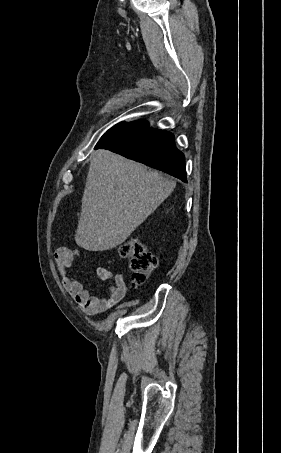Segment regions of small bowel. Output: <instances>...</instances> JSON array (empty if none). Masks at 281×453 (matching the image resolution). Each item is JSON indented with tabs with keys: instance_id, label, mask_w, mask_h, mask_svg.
I'll list each match as a JSON object with an SVG mask.
<instances>
[{
	"instance_id": "small-bowel-1",
	"label": "small bowel",
	"mask_w": 281,
	"mask_h": 453,
	"mask_svg": "<svg viewBox=\"0 0 281 453\" xmlns=\"http://www.w3.org/2000/svg\"><path fill=\"white\" fill-rule=\"evenodd\" d=\"M77 256L78 252L75 250L59 249L55 254V261L65 287L73 294L78 302L84 304L86 315H98L126 297L128 289L122 273L114 276V281L109 288L106 298L92 297L89 291L71 275V268ZM95 274L98 278L104 280H109L113 277L112 272L108 268L99 265L95 267Z\"/></svg>"
}]
</instances>
